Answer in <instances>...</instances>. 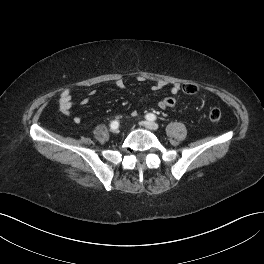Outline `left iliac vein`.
Returning <instances> with one entry per match:
<instances>
[{
	"instance_id": "1",
	"label": "left iliac vein",
	"mask_w": 264,
	"mask_h": 264,
	"mask_svg": "<svg viewBox=\"0 0 264 264\" xmlns=\"http://www.w3.org/2000/svg\"><path fill=\"white\" fill-rule=\"evenodd\" d=\"M140 125L150 130H157L159 128L157 123L151 121H141Z\"/></svg>"
}]
</instances>
